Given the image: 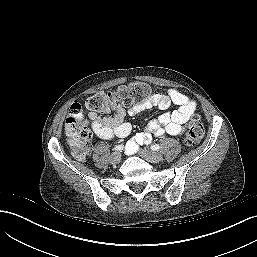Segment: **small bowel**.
<instances>
[{
	"label": "small bowel",
	"mask_w": 257,
	"mask_h": 257,
	"mask_svg": "<svg viewBox=\"0 0 257 257\" xmlns=\"http://www.w3.org/2000/svg\"><path fill=\"white\" fill-rule=\"evenodd\" d=\"M171 104L177 105L178 108L150 121L144 133L137 134L127 143L128 153H133L138 145L148 143L152 137L183 134L188 121L195 113V101L176 89H169L166 93H154L146 101L127 110L118 108L113 116H102L94 112H89L87 116L94 134L101 139L110 140L114 137L124 138L130 134L131 125L125 121L127 115L140 114L153 106L166 109Z\"/></svg>",
	"instance_id": "c3829d8e"
}]
</instances>
